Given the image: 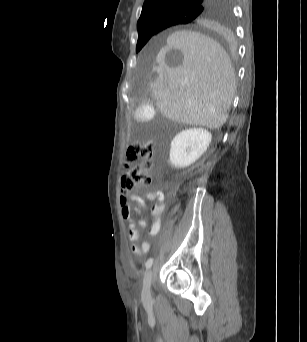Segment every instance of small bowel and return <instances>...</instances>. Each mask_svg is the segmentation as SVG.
<instances>
[{
  "mask_svg": "<svg viewBox=\"0 0 307 342\" xmlns=\"http://www.w3.org/2000/svg\"><path fill=\"white\" fill-rule=\"evenodd\" d=\"M130 199L133 202H136V204H137L136 209L137 210L144 209L146 207V201H154V200L156 201V203L152 207V216H153L154 221H153V224L148 231V235L150 238L155 237L159 233L160 218H161L162 212H163L164 207H165L164 194L159 190L148 191V192H146L144 199H142L136 195L130 196ZM123 216L126 220L129 221V238L132 241H137L139 239V230H138L136 224L134 223L132 216H131V212L128 208L123 210ZM146 225H147V222L145 219L139 220L138 226L140 228H144V227H146ZM131 250L136 255L145 254L149 250V243L148 242H142L140 245H133L131 247Z\"/></svg>",
  "mask_w": 307,
  "mask_h": 342,
  "instance_id": "c3829d8e",
  "label": "small bowel"
}]
</instances>
